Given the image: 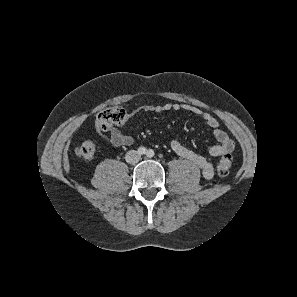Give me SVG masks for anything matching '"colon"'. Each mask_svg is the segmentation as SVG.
I'll list each match as a JSON object with an SVG mask.
<instances>
[{
  "mask_svg": "<svg viewBox=\"0 0 297 297\" xmlns=\"http://www.w3.org/2000/svg\"><path fill=\"white\" fill-rule=\"evenodd\" d=\"M126 117V112L122 107H112L101 111L97 116V127L106 131L111 129L114 125L120 124ZM76 155L84 160H90L94 157L96 146L94 142L85 140L77 144L75 149ZM232 166V156L225 154L221 156L217 164V171L219 175L226 176Z\"/></svg>",
  "mask_w": 297,
  "mask_h": 297,
  "instance_id": "1",
  "label": "colon"
}]
</instances>
